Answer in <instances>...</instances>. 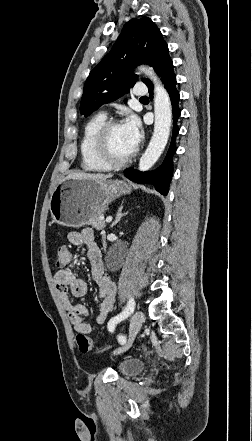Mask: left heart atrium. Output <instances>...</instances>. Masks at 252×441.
Instances as JSON below:
<instances>
[{
    "mask_svg": "<svg viewBox=\"0 0 252 441\" xmlns=\"http://www.w3.org/2000/svg\"><path fill=\"white\" fill-rule=\"evenodd\" d=\"M122 126L125 131L128 145L133 152L139 145L142 137L140 123L135 116L131 115L126 119Z\"/></svg>",
    "mask_w": 252,
    "mask_h": 441,
    "instance_id": "1",
    "label": "left heart atrium"
}]
</instances>
